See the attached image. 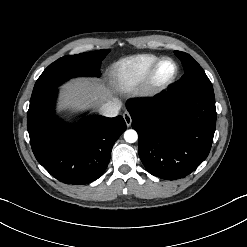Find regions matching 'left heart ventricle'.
<instances>
[{
    "instance_id": "obj_1",
    "label": "left heart ventricle",
    "mask_w": 247,
    "mask_h": 247,
    "mask_svg": "<svg viewBox=\"0 0 247 247\" xmlns=\"http://www.w3.org/2000/svg\"><path fill=\"white\" fill-rule=\"evenodd\" d=\"M175 65L171 61L162 62L155 74V82L157 84H163L170 80L172 76L175 74Z\"/></svg>"
}]
</instances>
